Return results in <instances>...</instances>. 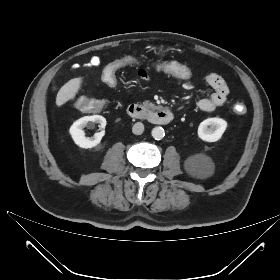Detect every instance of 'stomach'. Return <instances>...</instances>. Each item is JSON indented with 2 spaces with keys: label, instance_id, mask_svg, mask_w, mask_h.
Here are the masks:
<instances>
[{
  "label": "stomach",
  "instance_id": "1",
  "mask_svg": "<svg viewBox=\"0 0 280 280\" xmlns=\"http://www.w3.org/2000/svg\"><path fill=\"white\" fill-rule=\"evenodd\" d=\"M157 51H158V54H161V55H163L167 52V50L163 46L158 47Z\"/></svg>",
  "mask_w": 280,
  "mask_h": 280
}]
</instances>
